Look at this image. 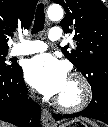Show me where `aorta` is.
<instances>
[{
    "mask_svg": "<svg viewBox=\"0 0 108 127\" xmlns=\"http://www.w3.org/2000/svg\"><path fill=\"white\" fill-rule=\"evenodd\" d=\"M48 17L52 21H58L63 18V8L60 5L53 4L48 8Z\"/></svg>",
    "mask_w": 108,
    "mask_h": 127,
    "instance_id": "762f6f07",
    "label": "aorta"
}]
</instances>
